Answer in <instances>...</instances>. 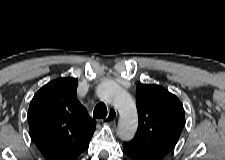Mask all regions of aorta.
I'll return each instance as SVG.
<instances>
[{"mask_svg": "<svg viewBox=\"0 0 225 160\" xmlns=\"http://www.w3.org/2000/svg\"><path fill=\"white\" fill-rule=\"evenodd\" d=\"M102 101L112 104L119 112L117 133L122 140H131L137 130V110L131 96L113 81H104L96 89Z\"/></svg>", "mask_w": 225, "mask_h": 160, "instance_id": "obj_1", "label": "aorta"}]
</instances>
